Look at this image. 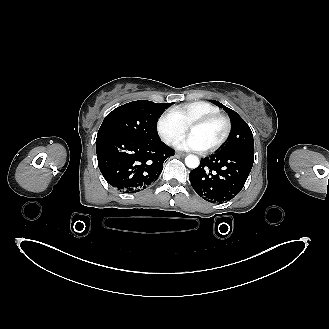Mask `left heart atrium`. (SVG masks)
I'll use <instances>...</instances> for the list:
<instances>
[{
	"label": "left heart atrium",
	"instance_id": "39dd6f15",
	"mask_svg": "<svg viewBox=\"0 0 329 329\" xmlns=\"http://www.w3.org/2000/svg\"><path fill=\"white\" fill-rule=\"evenodd\" d=\"M176 147L182 150H191V151H203L204 147L199 139L192 134L187 135L183 139H181Z\"/></svg>",
	"mask_w": 329,
	"mask_h": 329
}]
</instances>
